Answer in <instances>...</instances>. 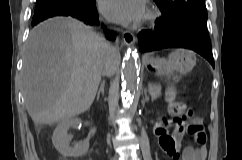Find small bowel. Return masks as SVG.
<instances>
[{
    "instance_id": "small-bowel-1",
    "label": "small bowel",
    "mask_w": 242,
    "mask_h": 160,
    "mask_svg": "<svg viewBox=\"0 0 242 160\" xmlns=\"http://www.w3.org/2000/svg\"><path fill=\"white\" fill-rule=\"evenodd\" d=\"M168 126L173 127L172 133H169L166 128L162 132L155 130L156 137L158 138V145L161 153L165 159L168 160H205L206 157V135L201 140V132L193 131L198 127H202L198 119H193L191 112L183 114L181 117L171 121ZM188 133L191 135L198 146H188L181 150V141Z\"/></svg>"
}]
</instances>
